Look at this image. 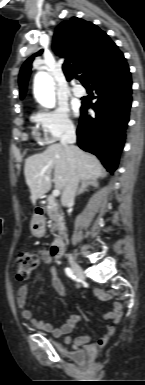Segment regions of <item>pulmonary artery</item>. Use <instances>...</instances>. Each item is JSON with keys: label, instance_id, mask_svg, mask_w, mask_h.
<instances>
[{"label": "pulmonary artery", "instance_id": "obj_1", "mask_svg": "<svg viewBox=\"0 0 145 385\" xmlns=\"http://www.w3.org/2000/svg\"><path fill=\"white\" fill-rule=\"evenodd\" d=\"M72 93L77 97H82L85 95V89L83 86L76 84L72 87Z\"/></svg>", "mask_w": 145, "mask_h": 385}]
</instances>
